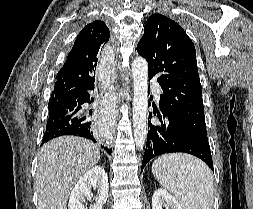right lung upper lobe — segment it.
<instances>
[{
	"instance_id": "right-lung-upper-lobe-1",
	"label": "right lung upper lobe",
	"mask_w": 253,
	"mask_h": 209,
	"mask_svg": "<svg viewBox=\"0 0 253 209\" xmlns=\"http://www.w3.org/2000/svg\"><path fill=\"white\" fill-rule=\"evenodd\" d=\"M110 31L103 21L87 24L77 36L56 77L50 101H69L94 88L97 61Z\"/></svg>"
}]
</instances>
